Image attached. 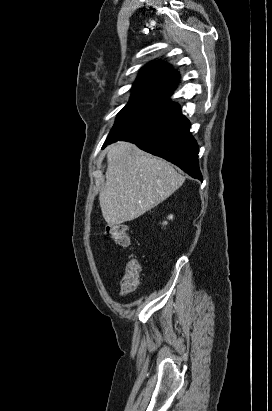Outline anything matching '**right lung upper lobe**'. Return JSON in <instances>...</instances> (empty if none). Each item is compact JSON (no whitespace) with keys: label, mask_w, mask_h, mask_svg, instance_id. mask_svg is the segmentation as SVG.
<instances>
[{"label":"right lung upper lobe","mask_w":272,"mask_h":411,"mask_svg":"<svg viewBox=\"0 0 272 411\" xmlns=\"http://www.w3.org/2000/svg\"><path fill=\"white\" fill-rule=\"evenodd\" d=\"M178 79L179 74L171 70L169 64L155 62L141 69L133 93L147 94L168 103Z\"/></svg>","instance_id":"1"}]
</instances>
